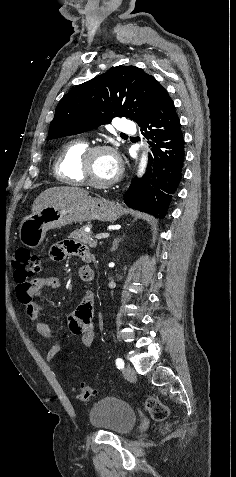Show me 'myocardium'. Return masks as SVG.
Returning a JSON list of instances; mask_svg holds the SVG:
<instances>
[{"label": "myocardium", "instance_id": "f54148a6", "mask_svg": "<svg viewBox=\"0 0 236 477\" xmlns=\"http://www.w3.org/2000/svg\"><path fill=\"white\" fill-rule=\"evenodd\" d=\"M102 151H107L110 152L113 156H117L116 151L108 146V145H94L88 147L85 152L82 154L80 158V163H79V172L82 177V180L85 184L90 185L95 188H108L113 186L118 180L120 179L121 176V170L117 172L115 177L109 181H96L91 177L90 174V161L92 157Z\"/></svg>", "mask_w": 236, "mask_h": 477}]
</instances>
